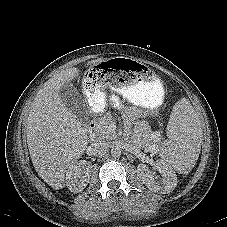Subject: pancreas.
<instances>
[{"mask_svg": "<svg viewBox=\"0 0 227 227\" xmlns=\"http://www.w3.org/2000/svg\"><path fill=\"white\" fill-rule=\"evenodd\" d=\"M111 124L112 117L110 115L102 117L97 125V136L101 139H113L115 137V129L111 127ZM134 142L137 145L144 147L147 151H151L153 149L151 145L135 137Z\"/></svg>", "mask_w": 227, "mask_h": 227, "instance_id": "1", "label": "pancreas"}]
</instances>
